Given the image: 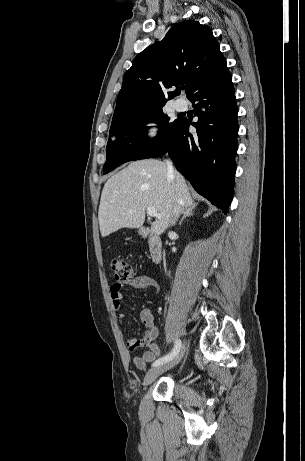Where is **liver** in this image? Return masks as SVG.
Instances as JSON below:
<instances>
[{
	"instance_id": "1",
	"label": "liver",
	"mask_w": 305,
	"mask_h": 461,
	"mask_svg": "<svg viewBox=\"0 0 305 461\" xmlns=\"http://www.w3.org/2000/svg\"><path fill=\"white\" fill-rule=\"evenodd\" d=\"M178 199L181 212L184 207L196 205L180 173L174 171L173 179L170 178L166 164L159 160L132 162L104 185L98 212L101 235L141 227L147 207H154L161 215L151 226L152 233L160 235L169 226Z\"/></svg>"
}]
</instances>
